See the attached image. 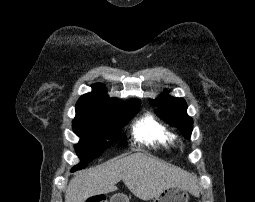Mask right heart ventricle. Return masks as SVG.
<instances>
[{"label":"right heart ventricle","instance_id":"1","mask_svg":"<svg viewBox=\"0 0 255 202\" xmlns=\"http://www.w3.org/2000/svg\"><path fill=\"white\" fill-rule=\"evenodd\" d=\"M135 138L142 143L169 147L174 142V135L154 116L146 115L133 127Z\"/></svg>","mask_w":255,"mask_h":202}]
</instances>
